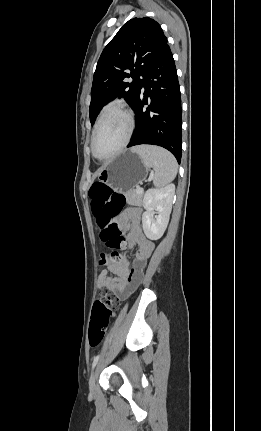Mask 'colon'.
<instances>
[{
  "instance_id": "obj_1",
  "label": "colon",
  "mask_w": 261,
  "mask_h": 431,
  "mask_svg": "<svg viewBox=\"0 0 261 431\" xmlns=\"http://www.w3.org/2000/svg\"><path fill=\"white\" fill-rule=\"evenodd\" d=\"M91 208L100 228V238L111 250L101 258V264L118 263L122 255L118 251L124 242L120 226L115 217L125 205L123 194L115 192L102 182H94L89 189ZM116 298L108 292H103L94 303L89 326V343L97 347L104 339L110 319L112 307Z\"/></svg>"
}]
</instances>
